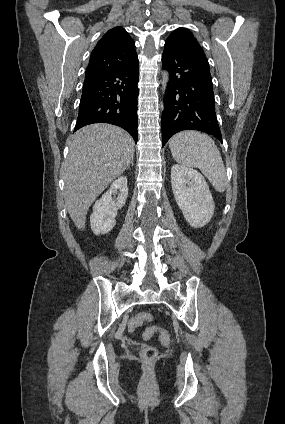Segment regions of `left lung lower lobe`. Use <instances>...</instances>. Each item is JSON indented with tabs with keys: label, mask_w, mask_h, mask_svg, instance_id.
Listing matches in <instances>:
<instances>
[{
	"label": "left lung lower lobe",
	"mask_w": 285,
	"mask_h": 424,
	"mask_svg": "<svg viewBox=\"0 0 285 424\" xmlns=\"http://www.w3.org/2000/svg\"><path fill=\"white\" fill-rule=\"evenodd\" d=\"M162 64L169 72L161 123L162 146L182 130L206 132L222 142L209 63L200 45L167 39Z\"/></svg>",
	"instance_id": "left-lung-lower-lobe-1"
}]
</instances>
